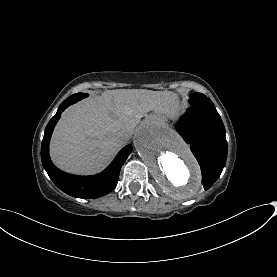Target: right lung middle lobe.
<instances>
[{"label": "right lung middle lobe", "instance_id": "dd1d6c3e", "mask_svg": "<svg viewBox=\"0 0 277 277\" xmlns=\"http://www.w3.org/2000/svg\"><path fill=\"white\" fill-rule=\"evenodd\" d=\"M87 96L88 94L86 93H77V94H74L70 99L77 98V100L79 101Z\"/></svg>", "mask_w": 277, "mask_h": 277}]
</instances>
